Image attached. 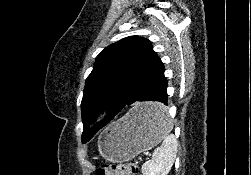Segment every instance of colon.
Segmentation results:
<instances>
[{
	"label": "colon",
	"mask_w": 251,
	"mask_h": 175,
	"mask_svg": "<svg viewBox=\"0 0 251 175\" xmlns=\"http://www.w3.org/2000/svg\"><path fill=\"white\" fill-rule=\"evenodd\" d=\"M138 171V166L135 163L125 162L107 165L100 168L96 175H135Z\"/></svg>",
	"instance_id": "5ec220e1"
}]
</instances>
